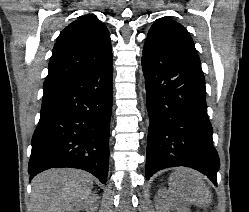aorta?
<instances>
[{
  "label": "aorta",
  "mask_w": 249,
  "mask_h": 212,
  "mask_svg": "<svg viewBox=\"0 0 249 212\" xmlns=\"http://www.w3.org/2000/svg\"><path fill=\"white\" fill-rule=\"evenodd\" d=\"M143 92H145V87H143Z\"/></svg>",
  "instance_id": "obj_1"
}]
</instances>
